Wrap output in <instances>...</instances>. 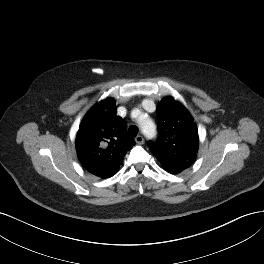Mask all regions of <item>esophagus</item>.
<instances>
[{"instance_id":"esophagus-1","label":"esophagus","mask_w":264,"mask_h":264,"mask_svg":"<svg viewBox=\"0 0 264 264\" xmlns=\"http://www.w3.org/2000/svg\"><path fill=\"white\" fill-rule=\"evenodd\" d=\"M135 141L137 144H143L144 143V138L141 135H138L135 137Z\"/></svg>"}]
</instances>
